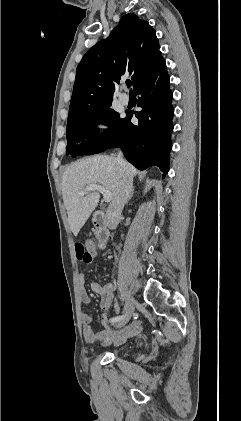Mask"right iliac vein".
<instances>
[{
	"mask_svg": "<svg viewBox=\"0 0 241 421\" xmlns=\"http://www.w3.org/2000/svg\"><path fill=\"white\" fill-rule=\"evenodd\" d=\"M134 308H135V299L132 297H129L126 304V314H125L126 316L124 319H122L116 324L117 327L123 326L130 320L134 312Z\"/></svg>",
	"mask_w": 241,
	"mask_h": 421,
	"instance_id": "63e3f726",
	"label": "right iliac vein"
}]
</instances>
